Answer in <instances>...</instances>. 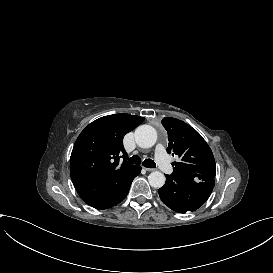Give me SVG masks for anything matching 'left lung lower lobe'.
<instances>
[{
  "label": "left lung lower lobe",
  "mask_w": 273,
  "mask_h": 273,
  "mask_svg": "<svg viewBox=\"0 0 273 273\" xmlns=\"http://www.w3.org/2000/svg\"><path fill=\"white\" fill-rule=\"evenodd\" d=\"M165 185L158 190L163 203L170 209L185 213L197 210L210 196L215 180L195 181L176 173L165 175Z\"/></svg>",
  "instance_id": "0a47b994"
}]
</instances>
